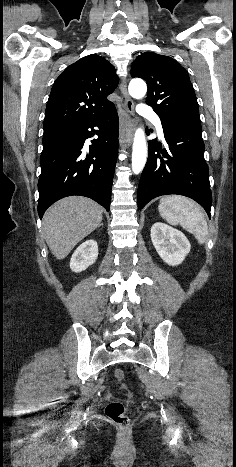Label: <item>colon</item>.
Instances as JSON below:
<instances>
[{
    "instance_id": "colon-1",
    "label": "colon",
    "mask_w": 236,
    "mask_h": 467,
    "mask_svg": "<svg viewBox=\"0 0 236 467\" xmlns=\"http://www.w3.org/2000/svg\"><path fill=\"white\" fill-rule=\"evenodd\" d=\"M114 375L120 382H124L125 373L121 369H116ZM106 417L120 428L127 430L130 427V420L126 416L125 404L121 401L109 403L105 408Z\"/></svg>"
}]
</instances>
